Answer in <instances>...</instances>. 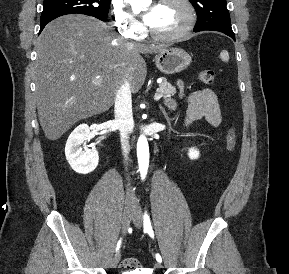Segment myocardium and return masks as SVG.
<instances>
[{
	"label": "myocardium",
	"mask_w": 289,
	"mask_h": 274,
	"mask_svg": "<svg viewBox=\"0 0 289 274\" xmlns=\"http://www.w3.org/2000/svg\"><path fill=\"white\" fill-rule=\"evenodd\" d=\"M172 0H159V4L167 3ZM179 3H181L185 10H186V22L185 24L176 32L169 33V34H162L159 32H156L154 29H152L150 26H148V33L155 39L161 40V41H175L179 40L186 35H188L192 29L195 26L197 14L196 9L191 0H175Z\"/></svg>",
	"instance_id": "myocardium-1"
}]
</instances>
